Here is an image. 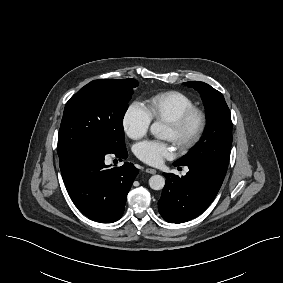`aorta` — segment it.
Masks as SVG:
<instances>
[{
    "mask_svg": "<svg viewBox=\"0 0 283 283\" xmlns=\"http://www.w3.org/2000/svg\"><path fill=\"white\" fill-rule=\"evenodd\" d=\"M162 131H163V125L159 122H154L150 126V132L153 134L156 138H162ZM165 185V179L161 175H154L151 176L149 179V186L153 190H161L163 189Z\"/></svg>",
    "mask_w": 283,
    "mask_h": 283,
    "instance_id": "1",
    "label": "aorta"
}]
</instances>
